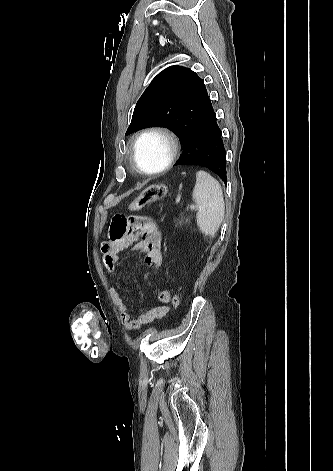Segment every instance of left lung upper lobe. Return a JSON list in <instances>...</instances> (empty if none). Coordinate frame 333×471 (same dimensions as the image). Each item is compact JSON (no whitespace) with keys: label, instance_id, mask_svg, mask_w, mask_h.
Segmentation results:
<instances>
[{"label":"left lung upper lobe","instance_id":"1","mask_svg":"<svg viewBox=\"0 0 333 471\" xmlns=\"http://www.w3.org/2000/svg\"><path fill=\"white\" fill-rule=\"evenodd\" d=\"M210 104L201 78L191 69L170 66L160 72L138 100L126 134L152 126H167L181 139L183 149Z\"/></svg>","mask_w":333,"mask_h":471}]
</instances>
